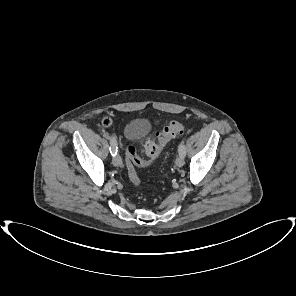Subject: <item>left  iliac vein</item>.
Here are the masks:
<instances>
[{
	"label": "left iliac vein",
	"instance_id": "1",
	"mask_svg": "<svg viewBox=\"0 0 296 296\" xmlns=\"http://www.w3.org/2000/svg\"><path fill=\"white\" fill-rule=\"evenodd\" d=\"M175 164L177 167H182L184 165V156L183 155H179L176 158Z\"/></svg>",
	"mask_w": 296,
	"mask_h": 296
}]
</instances>
